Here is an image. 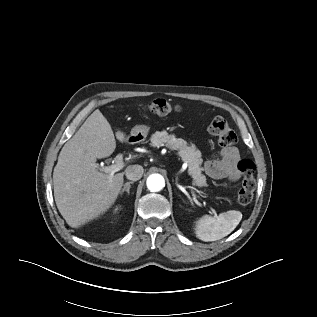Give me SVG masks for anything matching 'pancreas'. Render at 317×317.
<instances>
[{"instance_id": "1", "label": "pancreas", "mask_w": 317, "mask_h": 317, "mask_svg": "<svg viewBox=\"0 0 317 317\" xmlns=\"http://www.w3.org/2000/svg\"><path fill=\"white\" fill-rule=\"evenodd\" d=\"M151 145L154 147L166 146L170 150H177V155L188 164V173L193 178L196 186H206V177L202 174L201 152L194 146H190L184 139L176 138L174 134L167 131H157L151 137Z\"/></svg>"}]
</instances>
